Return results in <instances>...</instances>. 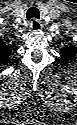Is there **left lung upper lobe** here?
I'll return each instance as SVG.
<instances>
[{
	"label": "left lung upper lobe",
	"mask_w": 77,
	"mask_h": 125,
	"mask_svg": "<svg viewBox=\"0 0 77 125\" xmlns=\"http://www.w3.org/2000/svg\"><path fill=\"white\" fill-rule=\"evenodd\" d=\"M76 53H77V50L73 45L66 46L65 48L61 49V54L66 61L72 60Z\"/></svg>",
	"instance_id": "obj_1"
}]
</instances>
